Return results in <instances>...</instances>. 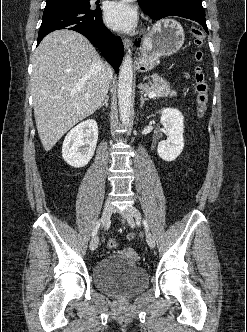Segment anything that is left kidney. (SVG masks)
<instances>
[{"mask_svg": "<svg viewBox=\"0 0 247 332\" xmlns=\"http://www.w3.org/2000/svg\"><path fill=\"white\" fill-rule=\"evenodd\" d=\"M160 114L167 139L159 142L157 153L164 161L171 162L181 154L184 148V117L178 109L174 108H164Z\"/></svg>", "mask_w": 247, "mask_h": 332, "instance_id": "5707ae66", "label": "left kidney"}]
</instances>
